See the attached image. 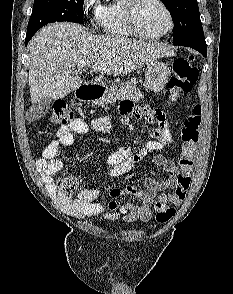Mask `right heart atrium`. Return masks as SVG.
I'll list each match as a JSON object with an SVG mask.
<instances>
[{
    "instance_id": "1",
    "label": "right heart atrium",
    "mask_w": 233,
    "mask_h": 294,
    "mask_svg": "<svg viewBox=\"0 0 233 294\" xmlns=\"http://www.w3.org/2000/svg\"><path fill=\"white\" fill-rule=\"evenodd\" d=\"M82 9L85 14H90L94 21L98 23L104 5L101 0H82Z\"/></svg>"
}]
</instances>
